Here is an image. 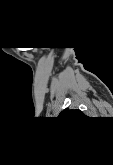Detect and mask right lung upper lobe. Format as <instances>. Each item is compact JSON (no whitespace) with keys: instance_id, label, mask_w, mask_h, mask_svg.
I'll list each match as a JSON object with an SVG mask.
<instances>
[{"instance_id":"cb5924a9","label":"right lung upper lobe","mask_w":113,"mask_h":165,"mask_svg":"<svg viewBox=\"0 0 113 165\" xmlns=\"http://www.w3.org/2000/svg\"><path fill=\"white\" fill-rule=\"evenodd\" d=\"M58 117H60V118H81V117H85V115L79 109L70 110V109L66 108L59 114Z\"/></svg>"}]
</instances>
